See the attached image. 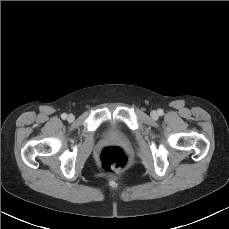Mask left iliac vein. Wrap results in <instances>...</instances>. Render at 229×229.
<instances>
[{
  "label": "left iliac vein",
  "instance_id": "4c4485c4",
  "mask_svg": "<svg viewBox=\"0 0 229 229\" xmlns=\"http://www.w3.org/2000/svg\"><path fill=\"white\" fill-rule=\"evenodd\" d=\"M151 116H152V118L156 119L158 117V114L156 111H152Z\"/></svg>",
  "mask_w": 229,
  "mask_h": 229
}]
</instances>
